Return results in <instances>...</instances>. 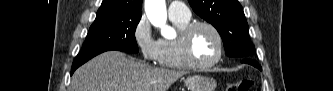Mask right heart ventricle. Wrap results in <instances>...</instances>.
Wrapping results in <instances>:
<instances>
[{"label": "right heart ventricle", "mask_w": 333, "mask_h": 91, "mask_svg": "<svg viewBox=\"0 0 333 91\" xmlns=\"http://www.w3.org/2000/svg\"><path fill=\"white\" fill-rule=\"evenodd\" d=\"M170 18L179 31L184 30L191 22V17L170 16ZM156 61L162 68L189 69L182 59L179 37L175 39L158 40V55Z\"/></svg>", "instance_id": "e07e8e85"}]
</instances>
